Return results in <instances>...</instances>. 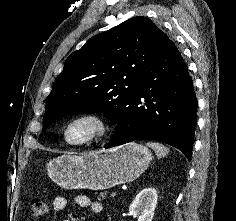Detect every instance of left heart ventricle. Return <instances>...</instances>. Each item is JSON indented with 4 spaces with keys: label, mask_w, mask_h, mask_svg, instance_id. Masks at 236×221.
I'll use <instances>...</instances> for the list:
<instances>
[{
    "label": "left heart ventricle",
    "mask_w": 236,
    "mask_h": 221,
    "mask_svg": "<svg viewBox=\"0 0 236 221\" xmlns=\"http://www.w3.org/2000/svg\"><path fill=\"white\" fill-rule=\"evenodd\" d=\"M93 131V125L89 122H81L73 125L68 131L71 141H79L88 137Z\"/></svg>",
    "instance_id": "obj_1"
}]
</instances>
